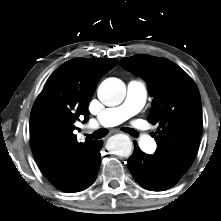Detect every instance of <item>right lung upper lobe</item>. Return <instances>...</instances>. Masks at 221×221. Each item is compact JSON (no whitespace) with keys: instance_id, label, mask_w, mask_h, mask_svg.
I'll return each mask as SVG.
<instances>
[{"instance_id":"1","label":"right lung upper lobe","mask_w":221,"mask_h":221,"mask_svg":"<svg viewBox=\"0 0 221 221\" xmlns=\"http://www.w3.org/2000/svg\"><path fill=\"white\" fill-rule=\"evenodd\" d=\"M117 63L116 59H72L53 72L37 97L30 115L31 149L55 187L70 181L94 144V140L77 141L74 123L88 119L98 81Z\"/></svg>"}]
</instances>
